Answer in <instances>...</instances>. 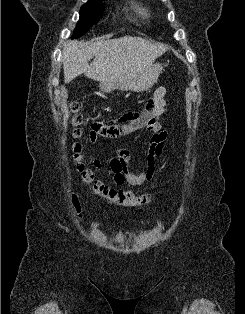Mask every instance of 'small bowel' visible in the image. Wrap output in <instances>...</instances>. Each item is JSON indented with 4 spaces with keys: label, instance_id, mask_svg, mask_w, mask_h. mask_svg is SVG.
Instances as JSON below:
<instances>
[{
    "label": "small bowel",
    "instance_id": "1",
    "mask_svg": "<svg viewBox=\"0 0 245 314\" xmlns=\"http://www.w3.org/2000/svg\"><path fill=\"white\" fill-rule=\"evenodd\" d=\"M166 93V87L159 86L155 89L143 110L130 112L109 121L92 124L88 137L89 142L92 144L97 141L99 135L114 136L140 131L134 139L133 146H135L145 136H149L145 170L132 168V163L135 160V154L132 149L117 151L112 157L109 163V170L115 184H128L133 187H140L152 180L155 174V158L162 154L167 138L165 129L160 125ZM94 164L100 167L99 160H94Z\"/></svg>",
    "mask_w": 245,
    "mask_h": 314
}]
</instances>
